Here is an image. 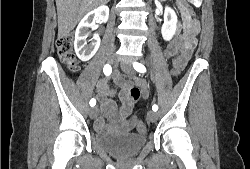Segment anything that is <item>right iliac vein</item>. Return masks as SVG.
Returning a JSON list of instances; mask_svg holds the SVG:
<instances>
[{
  "label": "right iliac vein",
  "mask_w": 250,
  "mask_h": 169,
  "mask_svg": "<svg viewBox=\"0 0 250 169\" xmlns=\"http://www.w3.org/2000/svg\"><path fill=\"white\" fill-rule=\"evenodd\" d=\"M107 61L108 63L112 64L114 67L117 66L118 62H117V59H116V56L115 55H110L108 58H107ZM98 114V109L97 107H93L91 109H89V117L91 119H94Z\"/></svg>",
  "instance_id": "1"
}]
</instances>
